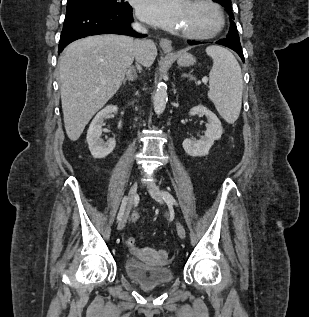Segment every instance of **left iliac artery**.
<instances>
[{"instance_id": "1", "label": "left iliac artery", "mask_w": 309, "mask_h": 317, "mask_svg": "<svg viewBox=\"0 0 309 317\" xmlns=\"http://www.w3.org/2000/svg\"><path fill=\"white\" fill-rule=\"evenodd\" d=\"M163 199L168 203V204H173L175 206H177V201L175 200V198L168 192L163 190L161 192Z\"/></svg>"}]
</instances>
